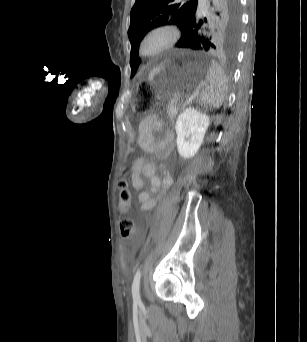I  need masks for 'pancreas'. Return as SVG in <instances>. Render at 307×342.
Returning <instances> with one entry per match:
<instances>
[{
    "mask_svg": "<svg viewBox=\"0 0 307 342\" xmlns=\"http://www.w3.org/2000/svg\"><path fill=\"white\" fill-rule=\"evenodd\" d=\"M176 103H170V105L167 107L166 116L167 117H174L175 112L178 108L177 102L179 101L177 98L174 100Z\"/></svg>",
    "mask_w": 307,
    "mask_h": 342,
    "instance_id": "obj_1",
    "label": "pancreas"
}]
</instances>
